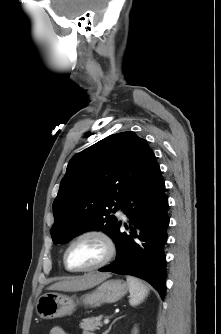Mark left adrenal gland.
I'll use <instances>...</instances> for the list:
<instances>
[{"label":"left adrenal gland","instance_id":"1","mask_svg":"<svg viewBox=\"0 0 221 334\" xmlns=\"http://www.w3.org/2000/svg\"><path fill=\"white\" fill-rule=\"evenodd\" d=\"M122 317H123V316L116 318V319L111 323V325L109 326V328H108L103 334H108V333L110 332V330H111L113 324H114L118 319H121Z\"/></svg>","mask_w":221,"mask_h":334}]
</instances>
